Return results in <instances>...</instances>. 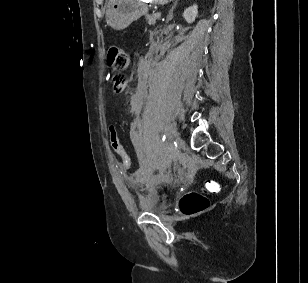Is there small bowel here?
Masks as SVG:
<instances>
[{"mask_svg": "<svg viewBox=\"0 0 308 283\" xmlns=\"http://www.w3.org/2000/svg\"><path fill=\"white\" fill-rule=\"evenodd\" d=\"M123 89H124V85L123 86L113 85V91L115 93H120ZM144 103H145L144 93L142 91H137L136 93H134L130 100L131 112L135 114L141 113Z\"/></svg>", "mask_w": 308, "mask_h": 283, "instance_id": "obj_1", "label": "small bowel"}]
</instances>
